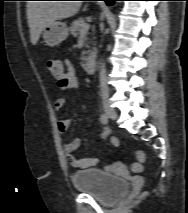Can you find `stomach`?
<instances>
[{
  "mask_svg": "<svg viewBox=\"0 0 188 213\" xmlns=\"http://www.w3.org/2000/svg\"><path fill=\"white\" fill-rule=\"evenodd\" d=\"M43 40L46 45L54 47L68 37L66 23L54 21L42 30Z\"/></svg>",
  "mask_w": 188,
  "mask_h": 213,
  "instance_id": "obj_1",
  "label": "stomach"
}]
</instances>
